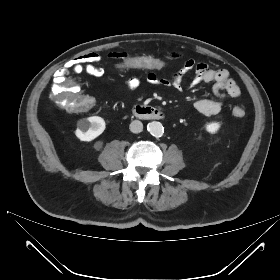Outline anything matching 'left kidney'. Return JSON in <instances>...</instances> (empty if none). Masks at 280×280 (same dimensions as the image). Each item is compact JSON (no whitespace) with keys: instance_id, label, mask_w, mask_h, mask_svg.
Segmentation results:
<instances>
[{"instance_id":"left-kidney-1","label":"left kidney","mask_w":280,"mask_h":280,"mask_svg":"<svg viewBox=\"0 0 280 280\" xmlns=\"http://www.w3.org/2000/svg\"><path fill=\"white\" fill-rule=\"evenodd\" d=\"M220 128V124L218 122H212L206 125V131L209 133H216Z\"/></svg>"}]
</instances>
